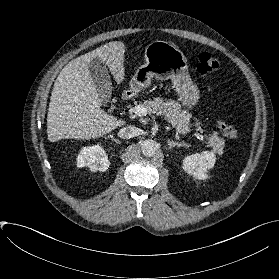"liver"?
I'll return each mask as SVG.
<instances>
[{
	"label": "liver",
	"mask_w": 279,
	"mask_h": 279,
	"mask_svg": "<svg viewBox=\"0 0 279 279\" xmlns=\"http://www.w3.org/2000/svg\"><path fill=\"white\" fill-rule=\"evenodd\" d=\"M124 54L125 44L113 41L73 59L62 69L54 83L47 115L50 142L95 139L126 123L101 109L102 99L89 72L91 60L99 57L120 84L125 75Z\"/></svg>",
	"instance_id": "liver-1"
}]
</instances>
